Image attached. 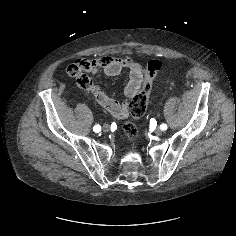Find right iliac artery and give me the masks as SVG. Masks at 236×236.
Masks as SVG:
<instances>
[{"instance_id": "right-iliac-artery-1", "label": "right iliac artery", "mask_w": 236, "mask_h": 236, "mask_svg": "<svg viewBox=\"0 0 236 236\" xmlns=\"http://www.w3.org/2000/svg\"><path fill=\"white\" fill-rule=\"evenodd\" d=\"M93 131L96 132V133L100 132L101 131V126L100 125H95L93 127Z\"/></svg>"}]
</instances>
